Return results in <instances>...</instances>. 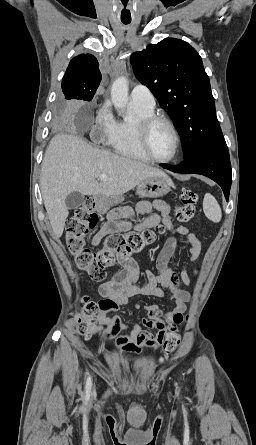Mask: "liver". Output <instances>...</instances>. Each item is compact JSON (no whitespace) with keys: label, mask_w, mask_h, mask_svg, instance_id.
<instances>
[{"label":"liver","mask_w":256,"mask_h":445,"mask_svg":"<svg viewBox=\"0 0 256 445\" xmlns=\"http://www.w3.org/2000/svg\"><path fill=\"white\" fill-rule=\"evenodd\" d=\"M101 174L108 178L99 182ZM156 175L167 176L142 162L94 148L74 134L55 135L46 149L40 177L43 202L55 237L63 234L69 215L65 199L71 192L119 197Z\"/></svg>","instance_id":"obj_1"}]
</instances>
